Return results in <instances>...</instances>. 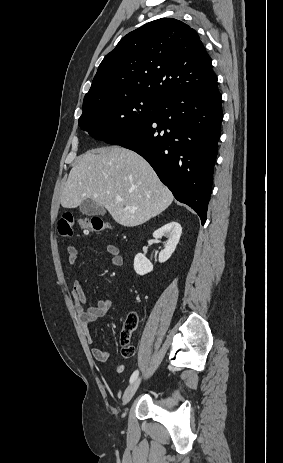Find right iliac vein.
<instances>
[{"instance_id":"1","label":"right iliac vein","mask_w":283,"mask_h":463,"mask_svg":"<svg viewBox=\"0 0 283 463\" xmlns=\"http://www.w3.org/2000/svg\"><path fill=\"white\" fill-rule=\"evenodd\" d=\"M139 385H140V379H136L127 387L123 395V400H122L123 405H126L127 403L130 402V400L133 398L134 394L136 393Z\"/></svg>"}]
</instances>
